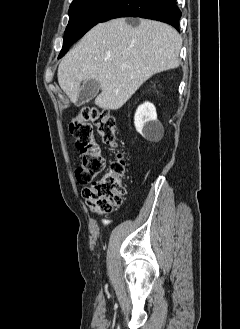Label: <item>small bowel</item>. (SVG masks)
I'll return each instance as SVG.
<instances>
[{
	"instance_id": "obj_1",
	"label": "small bowel",
	"mask_w": 240,
	"mask_h": 329,
	"mask_svg": "<svg viewBox=\"0 0 240 329\" xmlns=\"http://www.w3.org/2000/svg\"><path fill=\"white\" fill-rule=\"evenodd\" d=\"M103 224H104V225H108V224H109V222H104Z\"/></svg>"
}]
</instances>
